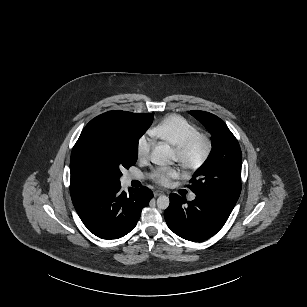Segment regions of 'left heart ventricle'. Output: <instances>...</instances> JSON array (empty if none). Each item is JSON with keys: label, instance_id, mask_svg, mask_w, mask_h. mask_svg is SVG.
<instances>
[{"label": "left heart ventricle", "instance_id": "obj_1", "mask_svg": "<svg viewBox=\"0 0 307 307\" xmlns=\"http://www.w3.org/2000/svg\"><path fill=\"white\" fill-rule=\"evenodd\" d=\"M197 155H198V151L196 150V151H194V153H193V157H196ZM170 160H171V162L177 161V157H176V155H175L173 152H171Z\"/></svg>", "mask_w": 307, "mask_h": 307}]
</instances>
